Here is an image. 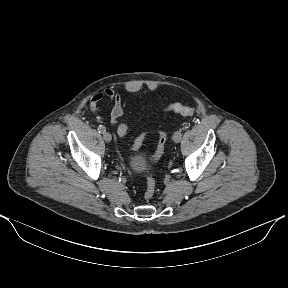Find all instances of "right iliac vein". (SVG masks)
<instances>
[{
  "label": "right iliac vein",
  "mask_w": 288,
  "mask_h": 288,
  "mask_svg": "<svg viewBox=\"0 0 288 288\" xmlns=\"http://www.w3.org/2000/svg\"><path fill=\"white\" fill-rule=\"evenodd\" d=\"M103 138L106 142H110L112 140V136L109 132L103 133Z\"/></svg>",
  "instance_id": "obj_1"
}]
</instances>
